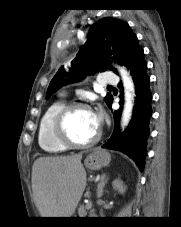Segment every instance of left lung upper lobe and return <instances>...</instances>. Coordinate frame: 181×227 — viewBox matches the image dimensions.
Wrapping results in <instances>:
<instances>
[{
  "instance_id": "left-lung-upper-lobe-1",
  "label": "left lung upper lobe",
  "mask_w": 181,
  "mask_h": 227,
  "mask_svg": "<svg viewBox=\"0 0 181 227\" xmlns=\"http://www.w3.org/2000/svg\"><path fill=\"white\" fill-rule=\"evenodd\" d=\"M138 44V39L132 32L128 23L105 17L91 26L88 40L80 47L76 57L71 62L68 71L60 67L51 80L46 99L56 90L67 83L81 80L87 74L105 69H112L104 59L113 56V59L124 65L132 48ZM115 71V70H114ZM106 103L109 105L113 100L110 93L107 94Z\"/></svg>"
}]
</instances>
